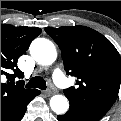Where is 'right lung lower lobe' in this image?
Masks as SVG:
<instances>
[{"label": "right lung lower lobe", "instance_id": "obj_1", "mask_svg": "<svg viewBox=\"0 0 121 121\" xmlns=\"http://www.w3.org/2000/svg\"><path fill=\"white\" fill-rule=\"evenodd\" d=\"M40 92L38 90H33L27 97L19 102V104L14 107L8 114L1 118V121H20L25 114L27 109V105L30 101L39 95Z\"/></svg>", "mask_w": 121, "mask_h": 121}]
</instances>
